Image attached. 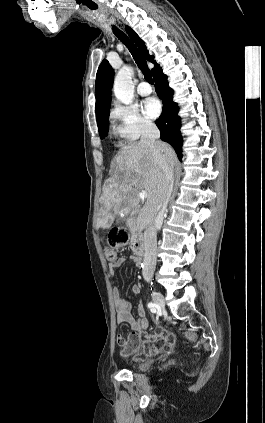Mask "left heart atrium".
<instances>
[{"label":"left heart atrium","mask_w":265,"mask_h":423,"mask_svg":"<svg viewBox=\"0 0 265 423\" xmlns=\"http://www.w3.org/2000/svg\"><path fill=\"white\" fill-rule=\"evenodd\" d=\"M144 113L150 118H156L161 113V104L156 98H148L144 102Z\"/></svg>","instance_id":"left-heart-atrium-1"}]
</instances>
